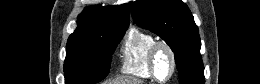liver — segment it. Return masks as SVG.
I'll return each instance as SVG.
<instances>
[{"mask_svg": "<svg viewBox=\"0 0 260 84\" xmlns=\"http://www.w3.org/2000/svg\"><path fill=\"white\" fill-rule=\"evenodd\" d=\"M125 82H127V84H131V82H134L133 84H140L141 82L140 81H132V80H115L113 81L112 83H108V84H126Z\"/></svg>", "mask_w": 260, "mask_h": 84, "instance_id": "obj_1", "label": "liver"}]
</instances>
